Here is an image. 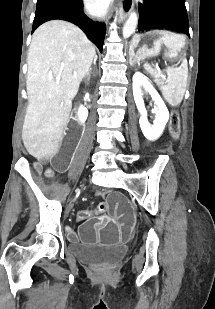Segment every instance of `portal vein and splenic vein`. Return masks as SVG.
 <instances>
[{
	"mask_svg": "<svg viewBox=\"0 0 215 309\" xmlns=\"http://www.w3.org/2000/svg\"><path fill=\"white\" fill-rule=\"evenodd\" d=\"M59 80H60V76H56V82H57V84H58Z\"/></svg>",
	"mask_w": 215,
	"mask_h": 309,
	"instance_id": "18ae733b",
	"label": "portal vein and splenic vein"
}]
</instances>
